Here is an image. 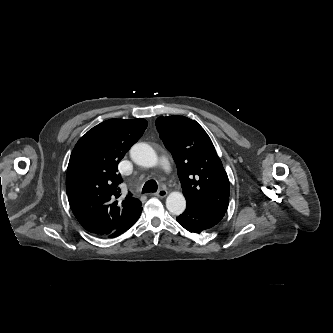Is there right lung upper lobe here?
I'll return each instance as SVG.
<instances>
[{
	"label": "right lung upper lobe",
	"instance_id": "obj_1",
	"mask_svg": "<svg viewBox=\"0 0 333 333\" xmlns=\"http://www.w3.org/2000/svg\"><path fill=\"white\" fill-rule=\"evenodd\" d=\"M145 119H109L89 130L75 145L67 169L70 208L89 232L105 237L127 224L141 210L131 193L118 203V163L143 135Z\"/></svg>",
	"mask_w": 333,
	"mask_h": 333
}]
</instances>
